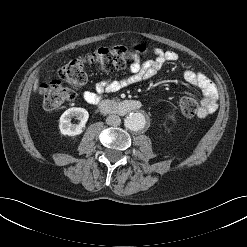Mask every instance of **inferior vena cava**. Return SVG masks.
I'll use <instances>...</instances> for the list:
<instances>
[{
  "label": "inferior vena cava",
  "mask_w": 247,
  "mask_h": 247,
  "mask_svg": "<svg viewBox=\"0 0 247 247\" xmlns=\"http://www.w3.org/2000/svg\"><path fill=\"white\" fill-rule=\"evenodd\" d=\"M106 123L111 126H118L121 123V119L118 115H109L106 118Z\"/></svg>",
  "instance_id": "1"
}]
</instances>
